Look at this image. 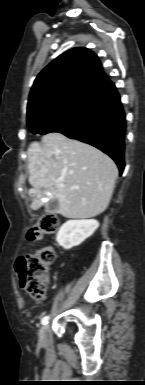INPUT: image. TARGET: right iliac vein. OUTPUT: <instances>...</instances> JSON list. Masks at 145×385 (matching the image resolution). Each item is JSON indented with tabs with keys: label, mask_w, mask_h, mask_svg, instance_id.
I'll use <instances>...</instances> for the list:
<instances>
[{
	"label": "right iliac vein",
	"mask_w": 145,
	"mask_h": 385,
	"mask_svg": "<svg viewBox=\"0 0 145 385\" xmlns=\"http://www.w3.org/2000/svg\"><path fill=\"white\" fill-rule=\"evenodd\" d=\"M48 331H49L48 324H45V325H43L41 327V329L39 331V339H40V341H42V342L46 341L47 335H48Z\"/></svg>",
	"instance_id": "right-iliac-vein-1"
}]
</instances>
